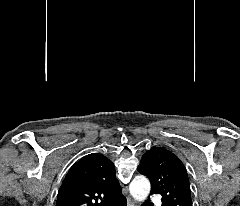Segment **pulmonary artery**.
Listing matches in <instances>:
<instances>
[{
	"mask_svg": "<svg viewBox=\"0 0 240 206\" xmlns=\"http://www.w3.org/2000/svg\"><path fill=\"white\" fill-rule=\"evenodd\" d=\"M154 201H155V202H158L159 200H158V199H155Z\"/></svg>",
	"mask_w": 240,
	"mask_h": 206,
	"instance_id": "pulmonary-artery-1",
	"label": "pulmonary artery"
}]
</instances>
